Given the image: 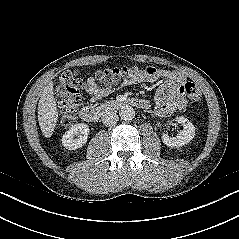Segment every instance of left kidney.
Here are the masks:
<instances>
[{"mask_svg": "<svg viewBox=\"0 0 239 239\" xmlns=\"http://www.w3.org/2000/svg\"><path fill=\"white\" fill-rule=\"evenodd\" d=\"M177 123L183 126L179 134L176 137H170L167 134L162 135V141L169 147H180L189 143L195 136V127L190 120L180 116L175 120Z\"/></svg>", "mask_w": 239, "mask_h": 239, "instance_id": "1", "label": "left kidney"}]
</instances>
